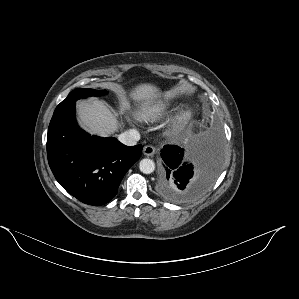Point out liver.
Instances as JSON below:
<instances>
[{
  "mask_svg": "<svg viewBox=\"0 0 299 299\" xmlns=\"http://www.w3.org/2000/svg\"><path fill=\"white\" fill-rule=\"evenodd\" d=\"M158 95L159 89L150 83L139 84L129 93L130 98L144 107H149ZM77 109L80 122L91 134L107 137L120 127L116 115L100 100L79 101Z\"/></svg>",
  "mask_w": 299,
  "mask_h": 299,
  "instance_id": "1",
  "label": "liver"
}]
</instances>
